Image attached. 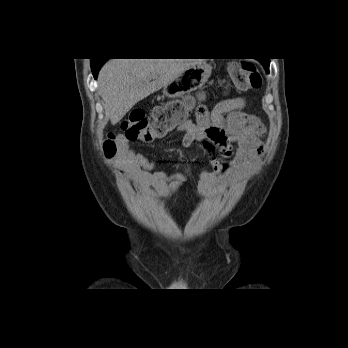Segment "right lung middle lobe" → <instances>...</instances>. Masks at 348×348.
<instances>
[{
  "instance_id": "dd1d6c3e",
  "label": "right lung middle lobe",
  "mask_w": 348,
  "mask_h": 348,
  "mask_svg": "<svg viewBox=\"0 0 348 348\" xmlns=\"http://www.w3.org/2000/svg\"><path fill=\"white\" fill-rule=\"evenodd\" d=\"M102 60H107V59H91V64L95 63V62H101Z\"/></svg>"
}]
</instances>
